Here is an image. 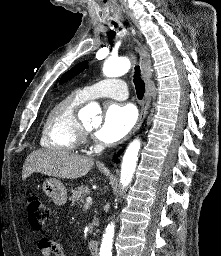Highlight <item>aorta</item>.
Returning a JSON list of instances; mask_svg holds the SVG:
<instances>
[{
    "label": "aorta",
    "instance_id": "aorta-1",
    "mask_svg": "<svg viewBox=\"0 0 221 256\" xmlns=\"http://www.w3.org/2000/svg\"><path fill=\"white\" fill-rule=\"evenodd\" d=\"M130 68L131 63L127 58L108 59L103 65V74L106 77H119L126 74ZM100 112V106L96 102H91L84 107L80 113H84L94 118ZM140 147V139H135L129 144L124 153L120 174V183L123 188L128 186L132 181L137 166ZM114 228L115 226L113 223L107 226L100 247V256H111Z\"/></svg>",
    "mask_w": 221,
    "mask_h": 256
}]
</instances>
